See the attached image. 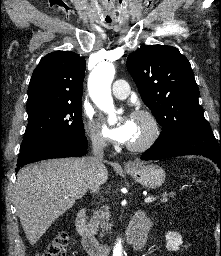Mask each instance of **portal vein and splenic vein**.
<instances>
[{
	"label": "portal vein and splenic vein",
	"mask_w": 221,
	"mask_h": 256,
	"mask_svg": "<svg viewBox=\"0 0 221 256\" xmlns=\"http://www.w3.org/2000/svg\"><path fill=\"white\" fill-rule=\"evenodd\" d=\"M156 198L152 197V196H149V197H146L144 199L145 203H152L153 201H155Z\"/></svg>",
	"instance_id": "1"
}]
</instances>
